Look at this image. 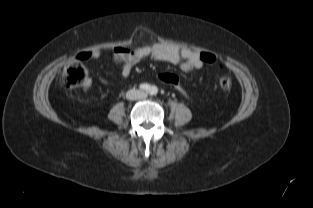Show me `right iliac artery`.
I'll list each match as a JSON object with an SVG mask.
<instances>
[{
	"instance_id": "right-iliac-artery-1",
	"label": "right iliac artery",
	"mask_w": 313,
	"mask_h": 208,
	"mask_svg": "<svg viewBox=\"0 0 313 208\" xmlns=\"http://www.w3.org/2000/svg\"><path fill=\"white\" fill-rule=\"evenodd\" d=\"M139 88L143 91L149 92L151 89V86L147 83L140 84Z\"/></svg>"
}]
</instances>
